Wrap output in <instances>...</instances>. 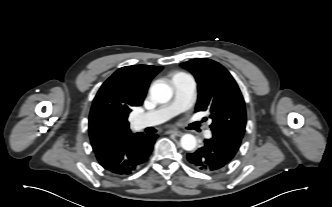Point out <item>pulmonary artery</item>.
<instances>
[{
    "instance_id": "1",
    "label": "pulmonary artery",
    "mask_w": 332,
    "mask_h": 207,
    "mask_svg": "<svg viewBox=\"0 0 332 207\" xmlns=\"http://www.w3.org/2000/svg\"><path fill=\"white\" fill-rule=\"evenodd\" d=\"M172 85L174 88L173 101L157 110L136 117L135 123L138 128L161 124L185 110L192 103L196 86L191 76L177 77L173 79ZM211 134L210 130H206L204 133L206 138H210Z\"/></svg>"
}]
</instances>
